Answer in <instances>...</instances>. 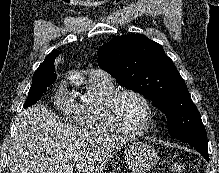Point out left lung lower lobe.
Returning <instances> with one entry per match:
<instances>
[{
	"mask_svg": "<svg viewBox=\"0 0 219 173\" xmlns=\"http://www.w3.org/2000/svg\"><path fill=\"white\" fill-rule=\"evenodd\" d=\"M190 145H192L207 161H209L208 147H203L201 145H195V144H190Z\"/></svg>",
	"mask_w": 219,
	"mask_h": 173,
	"instance_id": "obj_1",
	"label": "left lung lower lobe"
}]
</instances>
